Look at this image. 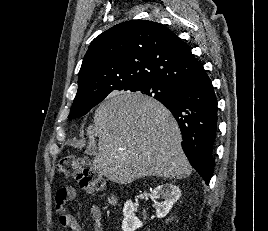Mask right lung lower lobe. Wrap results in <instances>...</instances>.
Segmentation results:
<instances>
[{
  "instance_id": "1",
  "label": "right lung lower lobe",
  "mask_w": 268,
  "mask_h": 231,
  "mask_svg": "<svg viewBox=\"0 0 268 231\" xmlns=\"http://www.w3.org/2000/svg\"><path fill=\"white\" fill-rule=\"evenodd\" d=\"M177 120L182 148L192 167L206 184L210 182L217 130V100L212 82L204 71L198 77L172 87V95L157 99Z\"/></svg>"
}]
</instances>
